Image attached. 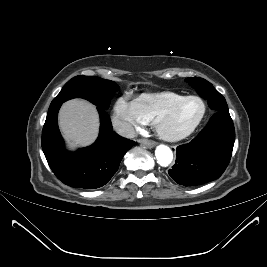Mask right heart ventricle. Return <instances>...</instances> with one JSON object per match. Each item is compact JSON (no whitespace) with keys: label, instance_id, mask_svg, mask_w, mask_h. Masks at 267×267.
Returning <instances> with one entry per match:
<instances>
[{"label":"right heart ventricle","instance_id":"1","mask_svg":"<svg viewBox=\"0 0 267 267\" xmlns=\"http://www.w3.org/2000/svg\"><path fill=\"white\" fill-rule=\"evenodd\" d=\"M185 95L176 92L146 93L136 101L138 107L148 122H154L156 117L183 99Z\"/></svg>","mask_w":267,"mask_h":267}]
</instances>
